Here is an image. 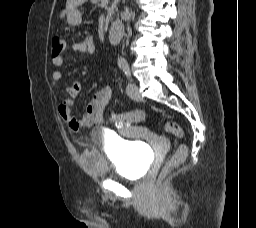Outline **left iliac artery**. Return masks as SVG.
Returning a JSON list of instances; mask_svg holds the SVG:
<instances>
[{
	"mask_svg": "<svg viewBox=\"0 0 256 228\" xmlns=\"http://www.w3.org/2000/svg\"><path fill=\"white\" fill-rule=\"evenodd\" d=\"M120 67L122 68V70H123V72L125 73L126 77H127L128 79H130L131 74H130V68H129L128 63H126V62L121 63V64H120Z\"/></svg>",
	"mask_w": 256,
	"mask_h": 228,
	"instance_id": "left-iliac-artery-1",
	"label": "left iliac artery"
}]
</instances>
